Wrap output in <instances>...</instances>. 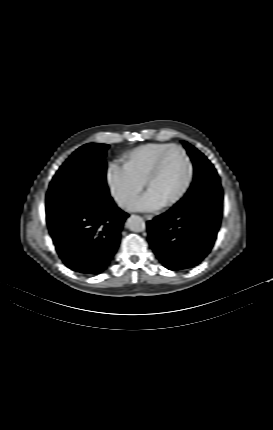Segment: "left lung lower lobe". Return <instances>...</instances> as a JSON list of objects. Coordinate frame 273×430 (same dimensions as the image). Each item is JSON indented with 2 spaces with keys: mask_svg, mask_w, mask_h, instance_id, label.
Returning a JSON list of instances; mask_svg holds the SVG:
<instances>
[{
  "mask_svg": "<svg viewBox=\"0 0 273 430\" xmlns=\"http://www.w3.org/2000/svg\"><path fill=\"white\" fill-rule=\"evenodd\" d=\"M222 200L220 183H205L147 222L150 246L166 268L189 269L209 254L221 223Z\"/></svg>",
  "mask_w": 273,
  "mask_h": 430,
  "instance_id": "obj_1",
  "label": "left lung lower lobe"
}]
</instances>
